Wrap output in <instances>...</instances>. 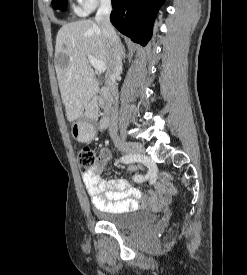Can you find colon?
Returning <instances> with one entry per match:
<instances>
[{
    "label": "colon",
    "mask_w": 247,
    "mask_h": 275,
    "mask_svg": "<svg viewBox=\"0 0 247 275\" xmlns=\"http://www.w3.org/2000/svg\"><path fill=\"white\" fill-rule=\"evenodd\" d=\"M96 161L95 154L92 149L89 147L82 148L77 156L78 167L83 172L91 169ZM161 183L165 186V188L170 191L172 194L177 192L176 187L172 183V176L168 173H162L159 177Z\"/></svg>",
    "instance_id": "obj_1"
}]
</instances>
